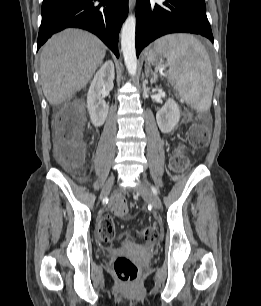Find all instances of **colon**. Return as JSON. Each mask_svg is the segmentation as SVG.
<instances>
[{
	"label": "colon",
	"instance_id": "5ec220e1",
	"mask_svg": "<svg viewBox=\"0 0 261 306\" xmlns=\"http://www.w3.org/2000/svg\"><path fill=\"white\" fill-rule=\"evenodd\" d=\"M84 115L76 104L62 107L55 117V155L56 159L70 170H79L84 162L85 148L82 140ZM189 144L196 149L208 145L209 130L206 124L192 126L188 131ZM190 165L185 144H178L170 157L171 168L178 173L184 172ZM111 210L120 217L128 213V205L124 197L117 196L110 202ZM99 234L104 243L115 239V226L111 215L104 214L99 222ZM141 238L148 243L157 240L159 232L154 226L145 227ZM113 271L123 283L137 281L140 270L138 265L128 257H117L112 265Z\"/></svg>",
	"mask_w": 261,
	"mask_h": 306
}]
</instances>
